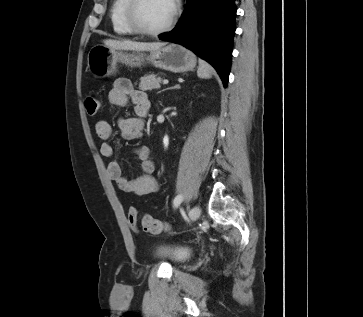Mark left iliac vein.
<instances>
[{"label":"left iliac vein","instance_id":"1","mask_svg":"<svg viewBox=\"0 0 363 317\" xmlns=\"http://www.w3.org/2000/svg\"><path fill=\"white\" fill-rule=\"evenodd\" d=\"M201 214V209L199 206H194L190 211H189V214H188V217H189V221L190 222H193L195 220H197L199 218Z\"/></svg>","mask_w":363,"mask_h":317}]
</instances>
